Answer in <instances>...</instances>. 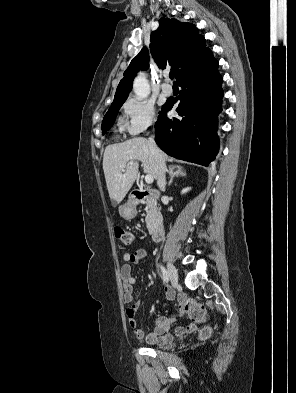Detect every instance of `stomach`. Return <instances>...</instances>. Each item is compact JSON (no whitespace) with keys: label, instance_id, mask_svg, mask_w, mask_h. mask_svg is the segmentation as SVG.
I'll list each match as a JSON object with an SVG mask.
<instances>
[{"label":"stomach","instance_id":"1","mask_svg":"<svg viewBox=\"0 0 296 393\" xmlns=\"http://www.w3.org/2000/svg\"><path fill=\"white\" fill-rule=\"evenodd\" d=\"M119 213L124 219L130 220L136 216L137 211L133 203L127 202L119 206Z\"/></svg>","mask_w":296,"mask_h":393}]
</instances>
